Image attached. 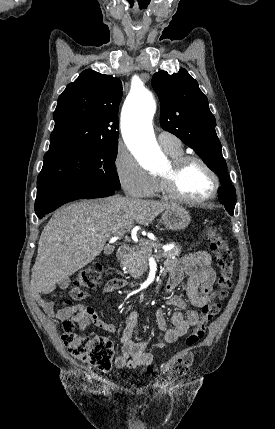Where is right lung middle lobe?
<instances>
[{
	"label": "right lung middle lobe",
	"mask_w": 275,
	"mask_h": 429,
	"mask_svg": "<svg viewBox=\"0 0 275 429\" xmlns=\"http://www.w3.org/2000/svg\"><path fill=\"white\" fill-rule=\"evenodd\" d=\"M118 143L64 146L48 151L37 179V197L76 184L119 190L115 160Z\"/></svg>",
	"instance_id": "dd1d6c3e"
}]
</instances>
